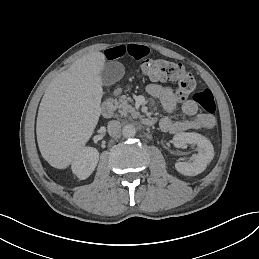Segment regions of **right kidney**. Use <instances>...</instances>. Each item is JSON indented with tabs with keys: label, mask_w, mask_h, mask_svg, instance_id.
<instances>
[{
	"label": "right kidney",
	"mask_w": 259,
	"mask_h": 259,
	"mask_svg": "<svg viewBox=\"0 0 259 259\" xmlns=\"http://www.w3.org/2000/svg\"><path fill=\"white\" fill-rule=\"evenodd\" d=\"M99 160V152L96 148L85 147L74 158L72 172L81 180L88 178L94 171Z\"/></svg>",
	"instance_id": "1"
}]
</instances>
